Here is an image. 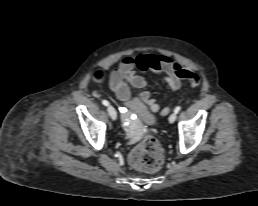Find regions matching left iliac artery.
I'll use <instances>...</instances> for the list:
<instances>
[{"label": "left iliac artery", "instance_id": "left-iliac-artery-1", "mask_svg": "<svg viewBox=\"0 0 258 206\" xmlns=\"http://www.w3.org/2000/svg\"><path fill=\"white\" fill-rule=\"evenodd\" d=\"M180 110H181V107H180V106H177V107L174 109V112L177 114Z\"/></svg>", "mask_w": 258, "mask_h": 206}]
</instances>
